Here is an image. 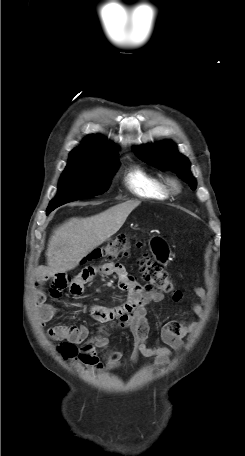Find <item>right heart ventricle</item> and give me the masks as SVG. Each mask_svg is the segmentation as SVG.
Listing matches in <instances>:
<instances>
[{
  "label": "right heart ventricle",
  "mask_w": 245,
  "mask_h": 456,
  "mask_svg": "<svg viewBox=\"0 0 245 456\" xmlns=\"http://www.w3.org/2000/svg\"><path fill=\"white\" fill-rule=\"evenodd\" d=\"M123 180L126 187L138 197L164 200L170 195L167 184L161 178L140 167L130 168Z\"/></svg>",
  "instance_id": "1"
}]
</instances>
